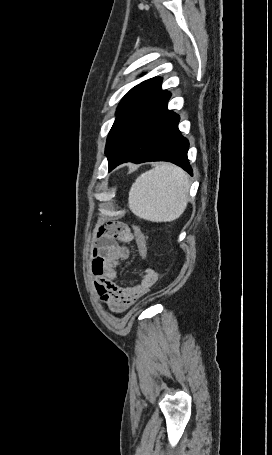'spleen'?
Returning a JSON list of instances; mask_svg holds the SVG:
<instances>
[{
    "mask_svg": "<svg viewBox=\"0 0 272 455\" xmlns=\"http://www.w3.org/2000/svg\"><path fill=\"white\" fill-rule=\"evenodd\" d=\"M189 179L179 167L160 163L141 174L129 191L132 213L152 222H170L179 218L188 203Z\"/></svg>",
    "mask_w": 272,
    "mask_h": 455,
    "instance_id": "obj_1",
    "label": "spleen"
}]
</instances>
